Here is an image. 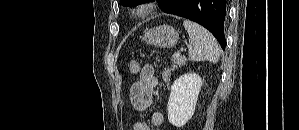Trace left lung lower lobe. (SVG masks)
Listing matches in <instances>:
<instances>
[{
    "label": "left lung lower lobe",
    "instance_id": "obj_1",
    "mask_svg": "<svg viewBox=\"0 0 299 130\" xmlns=\"http://www.w3.org/2000/svg\"><path fill=\"white\" fill-rule=\"evenodd\" d=\"M159 5L165 13L201 24L216 37L222 49H225L226 0H164Z\"/></svg>",
    "mask_w": 299,
    "mask_h": 130
}]
</instances>
